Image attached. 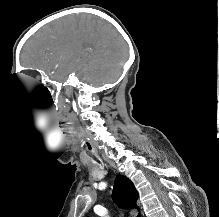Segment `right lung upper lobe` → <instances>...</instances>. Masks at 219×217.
Instances as JSON below:
<instances>
[{"label":"right lung upper lobe","mask_w":219,"mask_h":217,"mask_svg":"<svg viewBox=\"0 0 219 217\" xmlns=\"http://www.w3.org/2000/svg\"><path fill=\"white\" fill-rule=\"evenodd\" d=\"M137 199L138 192L132 181L123 175H118L113 189V200L124 209H139Z\"/></svg>","instance_id":"right-lung-upper-lobe-1"}]
</instances>
